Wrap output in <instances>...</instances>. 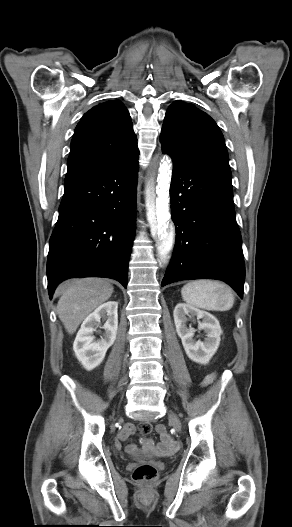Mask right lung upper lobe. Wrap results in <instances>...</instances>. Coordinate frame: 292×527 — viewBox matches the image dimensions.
<instances>
[{"label": "right lung upper lobe", "mask_w": 292, "mask_h": 527, "mask_svg": "<svg viewBox=\"0 0 292 527\" xmlns=\"http://www.w3.org/2000/svg\"><path fill=\"white\" fill-rule=\"evenodd\" d=\"M137 153L128 110L120 101H107L90 109L78 123L67 166L113 163Z\"/></svg>", "instance_id": "right-lung-upper-lobe-1"}]
</instances>
